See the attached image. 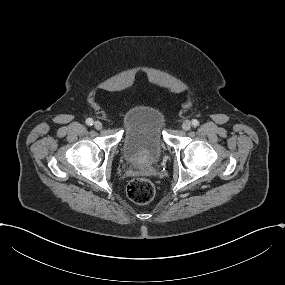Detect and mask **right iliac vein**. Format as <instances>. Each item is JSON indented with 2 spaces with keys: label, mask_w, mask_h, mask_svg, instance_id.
<instances>
[{
  "label": "right iliac vein",
  "mask_w": 285,
  "mask_h": 285,
  "mask_svg": "<svg viewBox=\"0 0 285 285\" xmlns=\"http://www.w3.org/2000/svg\"><path fill=\"white\" fill-rule=\"evenodd\" d=\"M102 123L100 121H96L94 123V127L97 129V130H100L102 128Z\"/></svg>",
  "instance_id": "63e3f726"
}]
</instances>
